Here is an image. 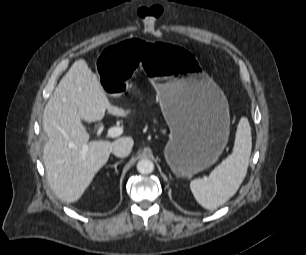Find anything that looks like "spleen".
<instances>
[{
  "label": "spleen",
  "instance_id": "obj_1",
  "mask_svg": "<svg viewBox=\"0 0 306 255\" xmlns=\"http://www.w3.org/2000/svg\"><path fill=\"white\" fill-rule=\"evenodd\" d=\"M251 149V127L248 119L242 117L237 126L233 152L208 178H197L190 183V189L200 205L209 210L216 209L237 192L247 173Z\"/></svg>",
  "mask_w": 306,
  "mask_h": 255
}]
</instances>
